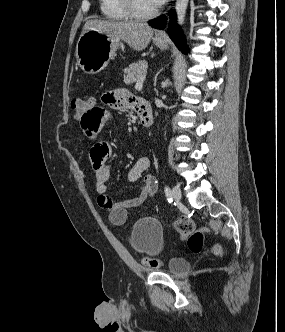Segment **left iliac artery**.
<instances>
[{
    "mask_svg": "<svg viewBox=\"0 0 285 332\" xmlns=\"http://www.w3.org/2000/svg\"><path fill=\"white\" fill-rule=\"evenodd\" d=\"M164 192H165V196L168 200V202H172V193H171V190L168 186H165V189H164Z\"/></svg>",
    "mask_w": 285,
    "mask_h": 332,
    "instance_id": "left-iliac-artery-1",
    "label": "left iliac artery"
}]
</instances>
